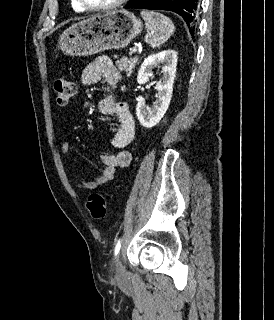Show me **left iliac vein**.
<instances>
[{
	"mask_svg": "<svg viewBox=\"0 0 274 320\" xmlns=\"http://www.w3.org/2000/svg\"><path fill=\"white\" fill-rule=\"evenodd\" d=\"M114 268H115L116 279L118 281H123L126 277V271H125V268L122 264L120 254L117 256V258L115 260V267Z\"/></svg>",
	"mask_w": 274,
	"mask_h": 320,
	"instance_id": "left-iliac-vein-1",
	"label": "left iliac vein"
}]
</instances>
